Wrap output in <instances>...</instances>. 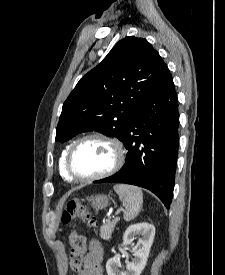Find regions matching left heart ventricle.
<instances>
[{
	"mask_svg": "<svg viewBox=\"0 0 225 275\" xmlns=\"http://www.w3.org/2000/svg\"><path fill=\"white\" fill-rule=\"evenodd\" d=\"M113 162L112 147L102 140L92 139L84 141L75 149L72 168L79 175L89 176L108 170Z\"/></svg>",
	"mask_w": 225,
	"mask_h": 275,
	"instance_id": "obj_1",
	"label": "left heart ventricle"
}]
</instances>
